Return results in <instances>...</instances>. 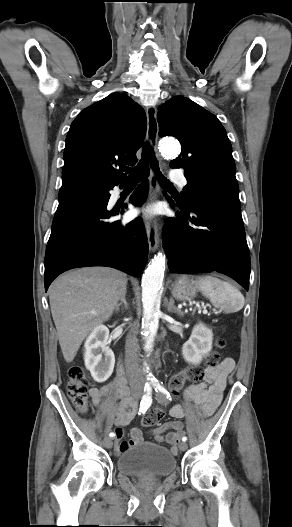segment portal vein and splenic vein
<instances>
[{"mask_svg":"<svg viewBox=\"0 0 292 527\" xmlns=\"http://www.w3.org/2000/svg\"><path fill=\"white\" fill-rule=\"evenodd\" d=\"M203 313H207V310H206V309H204Z\"/></svg>","mask_w":292,"mask_h":527,"instance_id":"obj_1","label":"portal vein and splenic vein"}]
</instances>
